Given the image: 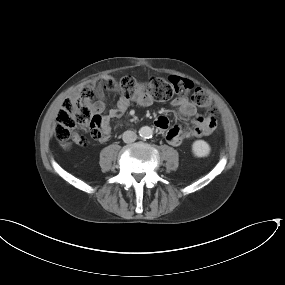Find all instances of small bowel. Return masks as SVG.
Instances as JSON below:
<instances>
[{"label": "small bowel", "instance_id": "small-bowel-1", "mask_svg": "<svg viewBox=\"0 0 285 285\" xmlns=\"http://www.w3.org/2000/svg\"><path fill=\"white\" fill-rule=\"evenodd\" d=\"M95 87V81L92 82ZM78 98V89H74L68 95V100ZM154 102L153 98L148 94H137L131 97H126L121 94L117 100L116 106L107 110L105 93L99 87H95V101L90 104V108L99 118L102 126L104 127V138L102 141H106L110 135V121L121 117L129 108L131 104H137L140 106H150ZM171 105L176 107L178 110V115L181 118H189L196 114V106L187 97H180L172 100ZM163 120L160 123L159 119L155 120V125L158 130L164 135L165 139L172 146H180L184 140L193 139L203 134V130L207 128V123L211 120L208 118H195L193 123L196 125L194 129L181 132L180 128L177 126H170L169 120L165 116H160ZM72 142L75 145L84 146L86 145V140L81 136L75 134L73 135Z\"/></svg>", "mask_w": 285, "mask_h": 285}]
</instances>
